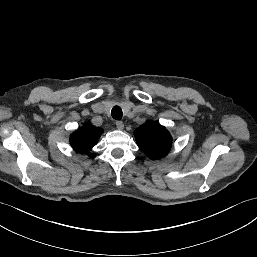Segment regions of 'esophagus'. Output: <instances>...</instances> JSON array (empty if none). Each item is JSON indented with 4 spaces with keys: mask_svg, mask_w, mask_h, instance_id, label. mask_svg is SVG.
Listing matches in <instances>:
<instances>
[{
    "mask_svg": "<svg viewBox=\"0 0 257 257\" xmlns=\"http://www.w3.org/2000/svg\"><path fill=\"white\" fill-rule=\"evenodd\" d=\"M116 127L119 130H123L124 128V123L122 121H116Z\"/></svg>",
    "mask_w": 257,
    "mask_h": 257,
    "instance_id": "1",
    "label": "esophagus"
}]
</instances>
